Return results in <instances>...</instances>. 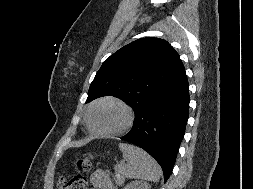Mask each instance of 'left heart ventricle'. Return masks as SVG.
Returning a JSON list of instances; mask_svg holds the SVG:
<instances>
[{
	"label": "left heart ventricle",
	"instance_id": "obj_1",
	"mask_svg": "<svg viewBox=\"0 0 253 189\" xmlns=\"http://www.w3.org/2000/svg\"><path fill=\"white\" fill-rule=\"evenodd\" d=\"M126 119L124 110L114 103H103L91 113L92 126L100 132H109L120 128Z\"/></svg>",
	"mask_w": 253,
	"mask_h": 189
}]
</instances>
